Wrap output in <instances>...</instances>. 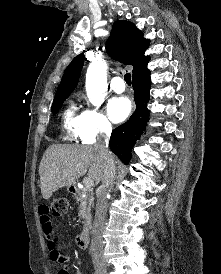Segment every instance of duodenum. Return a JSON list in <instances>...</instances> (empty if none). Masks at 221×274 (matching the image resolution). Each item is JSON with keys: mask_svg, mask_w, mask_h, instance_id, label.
Here are the masks:
<instances>
[{"mask_svg": "<svg viewBox=\"0 0 221 274\" xmlns=\"http://www.w3.org/2000/svg\"><path fill=\"white\" fill-rule=\"evenodd\" d=\"M72 193L76 198L81 197V192L76 187L72 188ZM89 222H90V216H86V226L89 224ZM76 242L80 248L87 247L89 242L87 227L79 233V235L77 236Z\"/></svg>", "mask_w": 221, "mask_h": 274, "instance_id": "410a0bca", "label": "duodenum"}]
</instances>
